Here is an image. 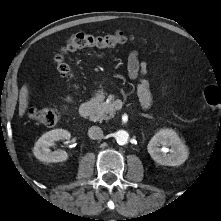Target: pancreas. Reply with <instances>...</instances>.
Returning a JSON list of instances; mask_svg holds the SVG:
<instances>
[{"label":"pancreas","instance_id":"pancreas-1","mask_svg":"<svg viewBox=\"0 0 221 221\" xmlns=\"http://www.w3.org/2000/svg\"><path fill=\"white\" fill-rule=\"evenodd\" d=\"M105 96L100 94L92 99L93 111L90 115L92 121H102L110 119L115 114V96L109 95L108 101H104Z\"/></svg>","mask_w":221,"mask_h":221}]
</instances>
